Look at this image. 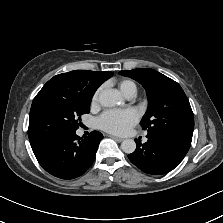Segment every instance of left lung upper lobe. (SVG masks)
I'll use <instances>...</instances> for the list:
<instances>
[{
    "label": "left lung upper lobe",
    "instance_id": "5c2ea615",
    "mask_svg": "<svg viewBox=\"0 0 223 223\" xmlns=\"http://www.w3.org/2000/svg\"><path fill=\"white\" fill-rule=\"evenodd\" d=\"M119 74L143 85L148 96V109L140 124L148 133L165 134L191 142L194 116L181 86L150 68L123 70Z\"/></svg>",
    "mask_w": 223,
    "mask_h": 223
}]
</instances>
